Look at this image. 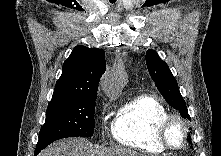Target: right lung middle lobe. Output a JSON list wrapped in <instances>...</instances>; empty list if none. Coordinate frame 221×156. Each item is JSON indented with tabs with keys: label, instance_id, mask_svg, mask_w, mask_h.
I'll return each instance as SVG.
<instances>
[{
	"label": "right lung middle lobe",
	"instance_id": "obj_1",
	"mask_svg": "<svg viewBox=\"0 0 221 156\" xmlns=\"http://www.w3.org/2000/svg\"><path fill=\"white\" fill-rule=\"evenodd\" d=\"M96 97L97 94H90L73 100L51 101L35 154L61 138L92 136Z\"/></svg>",
	"mask_w": 221,
	"mask_h": 156
}]
</instances>
